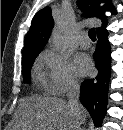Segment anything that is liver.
Wrapping results in <instances>:
<instances>
[{"mask_svg":"<svg viewBox=\"0 0 123 130\" xmlns=\"http://www.w3.org/2000/svg\"><path fill=\"white\" fill-rule=\"evenodd\" d=\"M88 112L81 106L80 124ZM9 130H72L73 113L68 103L51 96L32 95L20 100Z\"/></svg>","mask_w":123,"mask_h":130,"instance_id":"6515ba94","label":"liver"}]
</instances>
